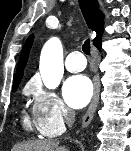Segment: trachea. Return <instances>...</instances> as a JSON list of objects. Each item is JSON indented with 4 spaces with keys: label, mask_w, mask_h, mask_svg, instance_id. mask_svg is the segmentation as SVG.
Listing matches in <instances>:
<instances>
[{
    "label": "trachea",
    "mask_w": 131,
    "mask_h": 151,
    "mask_svg": "<svg viewBox=\"0 0 131 151\" xmlns=\"http://www.w3.org/2000/svg\"><path fill=\"white\" fill-rule=\"evenodd\" d=\"M82 50L86 55H90V40L87 39L82 45Z\"/></svg>",
    "instance_id": "obj_1"
}]
</instances>
